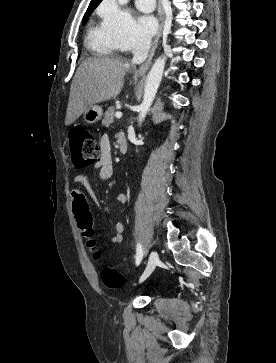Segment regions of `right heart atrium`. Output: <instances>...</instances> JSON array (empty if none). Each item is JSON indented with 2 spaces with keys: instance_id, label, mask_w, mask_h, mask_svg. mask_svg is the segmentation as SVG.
I'll use <instances>...</instances> for the list:
<instances>
[{
  "instance_id": "1",
  "label": "right heart atrium",
  "mask_w": 276,
  "mask_h": 363,
  "mask_svg": "<svg viewBox=\"0 0 276 363\" xmlns=\"http://www.w3.org/2000/svg\"><path fill=\"white\" fill-rule=\"evenodd\" d=\"M100 12L104 30L117 43L119 49L130 50L147 44L146 37L138 29L131 13L118 3L108 0Z\"/></svg>"
}]
</instances>
